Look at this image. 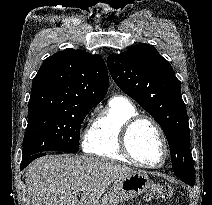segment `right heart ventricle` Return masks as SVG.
<instances>
[{
	"label": "right heart ventricle",
	"mask_w": 212,
	"mask_h": 205,
	"mask_svg": "<svg viewBox=\"0 0 212 205\" xmlns=\"http://www.w3.org/2000/svg\"><path fill=\"white\" fill-rule=\"evenodd\" d=\"M136 115L138 111L129 100L113 97L93 121L84 141V150L106 159L133 163L121 151L120 132L123 125Z\"/></svg>",
	"instance_id": "e07e8e85"
}]
</instances>
